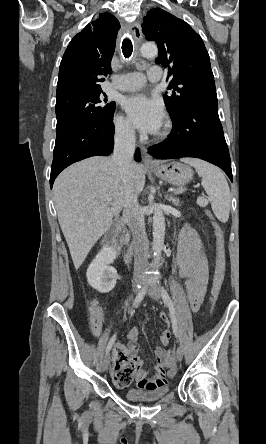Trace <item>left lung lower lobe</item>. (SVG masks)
Listing matches in <instances>:
<instances>
[{
    "mask_svg": "<svg viewBox=\"0 0 266 444\" xmlns=\"http://www.w3.org/2000/svg\"><path fill=\"white\" fill-rule=\"evenodd\" d=\"M166 142L149 153L157 159L195 157L220 167L232 181L231 160L218 115V102H202L172 119Z\"/></svg>",
    "mask_w": 266,
    "mask_h": 444,
    "instance_id": "0a47b994",
    "label": "left lung lower lobe"
}]
</instances>
